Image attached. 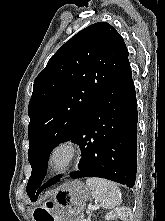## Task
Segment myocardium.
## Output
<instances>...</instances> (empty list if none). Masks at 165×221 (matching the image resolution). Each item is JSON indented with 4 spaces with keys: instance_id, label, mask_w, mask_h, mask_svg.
I'll return each mask as SVG.
<instances>
[{
    "instance_id": "f54148a6",
    "label": "myocardium",
    "mask_w": 165,
    "mask_h": 221,
    "mask_svg": "<svg viewBox=\"0 0 165 221\" xmlns=\"http://www.w3.org/2000/svg\"><path fill=\"white\" fill-rule=\"evenodd\" d=\"M60 151H64L66 153V160L62 165L57 166L54 164V157ZM79 154H80V144L77 140L73 138L61 139L57 141L50 148L48 152L47 156L48 167L54 173L67 172L76 163Z\"/></svg>"
}]
</instances>
